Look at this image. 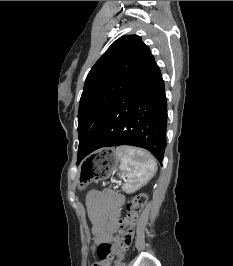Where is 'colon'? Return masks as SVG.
Here are the masks:
<instances>
[{"label": "colon", "mask_w": 233, "mask_h": 266, "mask_svg": "<svg viewBox=\"0 0 233 266\" xmlns=\"http://www.w3.org/2000/svg\"><path fill=\"white\" fill-rule=\"evenodd\" d=\"M147 201L145 194H138L127 200L119 230L112 243L98 246L99 261L93 266H125L124 255L128 251L134 237V227L139 214Z\"/></svg>", "instance_id": "colon-1"}]
</instances>
